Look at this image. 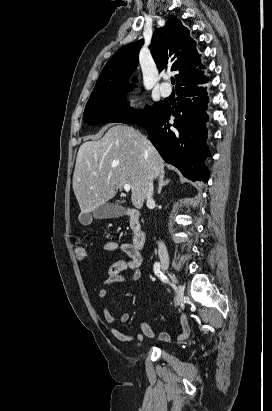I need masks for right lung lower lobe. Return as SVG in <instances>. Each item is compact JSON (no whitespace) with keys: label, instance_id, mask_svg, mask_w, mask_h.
<instances>
[{"label":"right lung lower lobe","instance_id":"obj_1","mask_svg":"<svg viewBox=\"0 0 272 411\" xmlns=\"http://www.w3.org/2000/svg\"><path fill=\"white\" fill-rule=\"evenodd\" d=\"M202 77L176 89L177 106L174 109L169 103L162 102L157 111L149 118L136 122L144 127L149 138L161 157L177 167L185 177L192 181H208V170L204 159L209 150L205 147L207 130L205 113L207 94L204 88L194 85L204 83ZM170 116L174 122L169 123Z\"/></svg>","mask_w":272,"mask_h":411}]
</instances>
